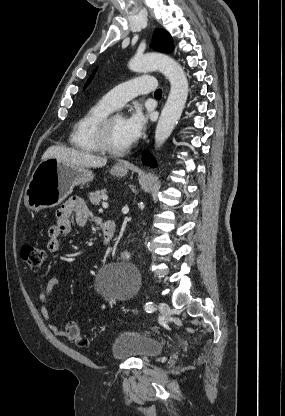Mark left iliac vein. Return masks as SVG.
Here are the masks:
<instances>
[{
  "mask_svg": "<svg viewBox=\"0 0 285 416\" xmlns=\"http://www.w3.org/2000/svg\"><path fill=\"white\" fill-rule=\"evenodd\" d=\"M159 310L161 311L163 317L167 319L170 316V308L168 304L164 301L158 303Z\"/></svg>",
  "mask_w": 285,
  "mask_h": 416,
  "instance_id": "1",
  "label": "left iliac vein"
}]
</instances>
